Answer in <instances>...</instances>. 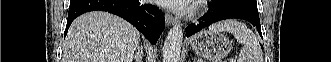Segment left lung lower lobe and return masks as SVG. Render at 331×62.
I'll return each mask as SVG.
<instances>
[{
    "label": "left lung lower lobe",
    "instance_id": "obj_1",
    "mask_svg": "<svg viewBox=\"0 0 331 62\" xmlns=\"http://www.w3.org/2000/svg\"><path fill=\"white\" fill-rule=\"evenodd\" d=\"M212 13L204 15L202 22L197 25H190L186 28V36L189 37L204 27L230 18L243 19L255 26L261 34L260 20L257 9V2L252 0H224L222 2H213L209 5Z\"/></svg>",
    "mask_w": 331,
    "mask_h": 62
}]
</instances>
